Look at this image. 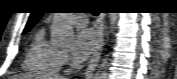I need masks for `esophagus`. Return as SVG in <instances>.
Listing matches in <instances>:
<instances>
[{"mask_svg": "<svg viewBox=\"0 0 177 79\" xmlns=\"http://www.w3.org/2000/svg\"><path fill=\"white\" fill-rule=\"evenodd\" d=\"M104 19L105 15L104 13H100L98 18H97V31H98V36H99V41L98 45L96 47V50L92 56V58L89 61V64L86 69V77L87 79H91L93 77V73L96 70L102 51H103V46H104Z\"/></svg>", "mask_w": 177, "mask_h": 79, "instance_id": "1", "label": "esophagus"}]
</instances>
